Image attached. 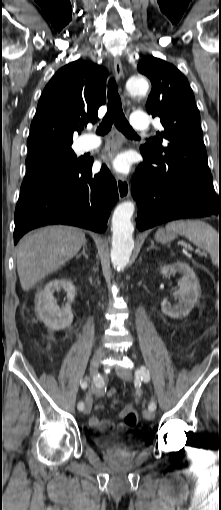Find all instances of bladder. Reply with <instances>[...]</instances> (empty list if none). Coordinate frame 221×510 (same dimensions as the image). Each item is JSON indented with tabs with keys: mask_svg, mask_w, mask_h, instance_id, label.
Masks as SVG:
<instances>
[{
	"mask_svg": "<svg viewBox=\"0 0 221 510\" xmlns=\"http://www.w3.org/2000/svg\"><path fill=\"white\" fill-rule=\"evenodd\" d=\"M95 444L107 452L136 451L144 446L145 441L141 437H130L128 435L110 433L95 438Z\"/></svg>",
	"mask_w": 221,
	"mask_h": 510,
	"instance_id": "bladder-1",
	"label": "bladder"
}]
</instances>
